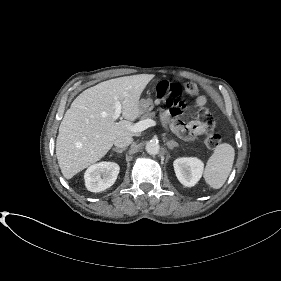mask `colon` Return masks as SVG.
Segmentation results:
<instances>
[{
    "mask_svg": "<svg viewBox=\"0 0 281 281\" xmlns=\"http://www.w3.org/2000/svg\"><path fill=\"white\" fill-rule=\"evenodd\" d=\"M197 91V85L191 81L178 83L164 80L160 81L155 88L156 97L164 101L172 117L182 114L185 108V99L189 95L196 94ZM198 122L203 132L206 133V146L211 149L217 148L221 143V137L214 132L215 121L206 109H201Z\"/></svg>",
    "mask_w": 281,
    "mask_h": 281,
    "instance_id": "obj_1",
    "label": "colon"
}]
</instances>
